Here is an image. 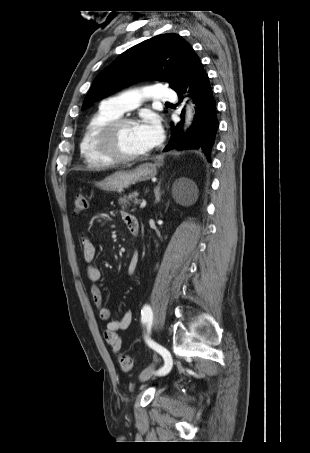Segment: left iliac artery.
I'll return each instance as SVG.
<instances>
[{
	"mask_svg": "<svg viewBox=\"0 0 310 453\" xmlns=\"http://www.w3.org/2000/svg\"><path fill=\"white\" fill-rule=\"evenodd\" d=\"M152 318H153V313H152L151 307L148 305H145L143 307V309L141 310L142 323H147V322L150 323V322H152ZM146 342L152 349H154L156 352H158L159 354L162 355L164 362H165L164 366L161 367L158 371H156L155 374L157 376H164V375L168 374V372L172 368V358H171V355L168 352V350H166L164 347L157 344L156 342L152 341L151 339L146 338Z\"/></svg>",
	"mask_w": 310,
	"mask_h": 453,
	"instance_id": "left-iliac-artery-1",
	"label": "left iliac artery"
}]
</instances>
